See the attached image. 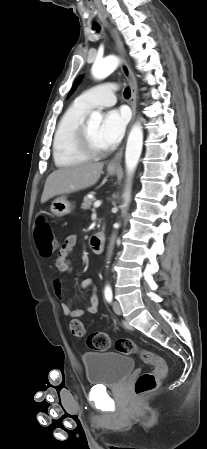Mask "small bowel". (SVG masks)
<instances>
[{
    "instance_id": "small-bowel-1",
    "label": "small bowel",
    "mask_w": 207,
    "mask_h": 449,
    "mask_svg": "<svg viewBox=\"0 0 207 449\" xmlns=\"http://www.w3.org/2000/svg\"><path fill=\"white\" fill-rule=\"evenodd\" d=\"M77 243L76 235H69L65 241L61 244L57 258L55 260V267L58 271L61 272H70L71 261L70 256L73 252V249ZM93 285V279L86 278L80 283L81 289H87ZM54 292L57 296L61 297L63 294L62 283L59 280H55L53 282ZM62 310L65 315L71 317H80L84 314L93 315L97 313L98 310V298L95 293L90 294L89 303L83 309H73L72 308V299H68L62 304Z\"/></svg>"
}]
</instances>
